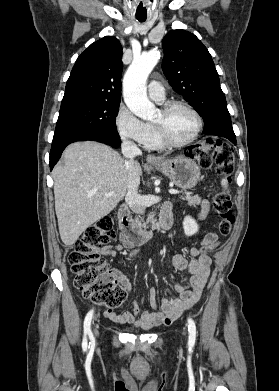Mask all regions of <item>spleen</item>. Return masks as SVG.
<instances>
[{
  "label": "spleen",
  "instance_id": "spleen-1",
  "mask_svg": "<svg viewBox=\"0 0 279 391\" xmlns=\"http://www.w3.org/2000/svg\"><path fill=\"white\" fill-rule=\"evenodd\" d=\"M227 184H228V181L226 179H222L221 181V185L226 188L227 187Z\"/></svg>",
  "mask_w": 279,
  "mask_h": 391
}]
</instances>
